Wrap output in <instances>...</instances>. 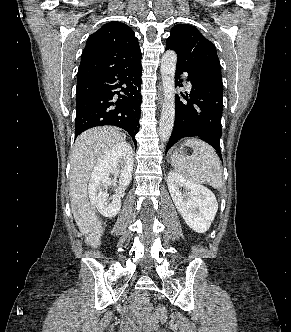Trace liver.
Segmentation results:
<instances>
[{
  "instance_id": "liver-1",
  "label": "liver",
  "mask_w": 291,
  "mask_h": 332,
  "mask_svg": "<svg viewBox=\"0 0 291 332\" xmlns=\"http://www.w3.org/2000/svg\"><path fill=\"white\" fill-rule=\"evenodd\" d=\"M125 139V134L115 127H96L78 136L72 149L69 177L71 209L79 230L86 236L85 242L95 248L100 244L103 227L89 202L87 184L102 155L116 144L124 143Z\"/></svg>"
}]
</instances>
